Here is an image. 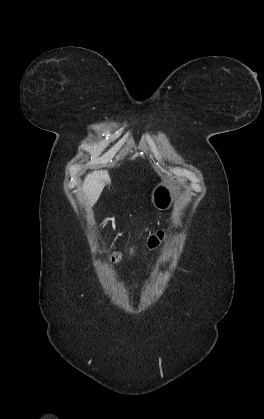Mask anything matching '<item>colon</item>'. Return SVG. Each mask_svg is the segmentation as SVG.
<instances>
[{
  "label": "colon",
  "instance_id": "5ec220e1",
  "mask_svg": "<svg viewBox=\"0 0 264 419\" xmlns=\"http://www.w3.org/2000/svg\"><path fill=\"white\" fill-rule=\"evenodd\" d=\"M163 238H164V233L162 231L152 234L148 239L149 248L153 249V248L158 247L160 243L162 242ZM118 259H119L118 254H114L112 256V261H117Z\"/></svg>",
  "mask_w": 264,
  "mask_h": 419
}]
</instances>
